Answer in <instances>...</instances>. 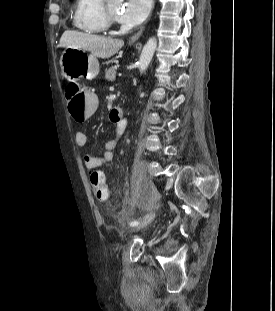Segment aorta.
Returning <instances> with one entry per match:
<instances>
[{
	"instance_id": "aorta-1",
	"label": "aorta",
	"mask_w": 275,
	"mask_h": 311,
	"mask_svg": "<svg viewBox=\"0 0 275 311\" xmlns=\"http://www.w3.org/2000/svg\"><path fill=\"white\" fill-rule=\"evenodd\" d=\"M117 2H122V0H116ZM157 47V40L155 37H151L147 43L144 45L142 53L140 55L138 67L141 73L145 72L148 68L152 57L154 55L155 49Z\"/></svg>"
}]
</instances>
